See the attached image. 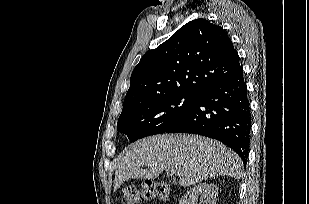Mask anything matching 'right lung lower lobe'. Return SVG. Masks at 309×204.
<instances>
[{
  "instance_id": "obj_1",
  "label": "right lung lower lobe",
  "mask_w": 309,
  "mask_h": 204,
  "mask_svg": "<svg viewBox=\"0 0 309 204\" xmlns=\"http://www.w3.org/2000/svg\"><path fill=\"white\" fill-rule=\"evenodd\" d=\"M251 114L244 72L207 87L192 108L165 132L199 134L221 141L246 164Z\"/></svg>"
}]
</instances>
